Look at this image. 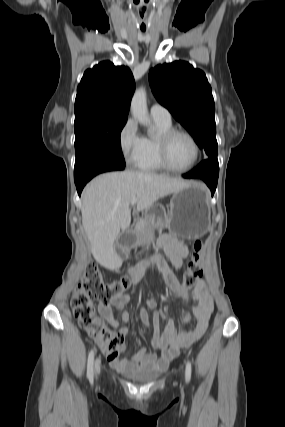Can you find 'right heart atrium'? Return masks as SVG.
<instances>
[{
	"mask_svg": "<svg viewBox=\"0 0 285 427\" xmlns=\"http://www.w3.org/2000/svg\"><path fill=\"white\" fill-rule=\"evenodd\" d=\"M119 147L128 163H135L141 151L143 136L139 133L138 125L133 118H128L120 129Z\"/></svg>",
	"mask_w": 285,
	"mask_h": 427,
	"instance_id": "1",
	"label": "right heart atrium"
}]
</instances>
